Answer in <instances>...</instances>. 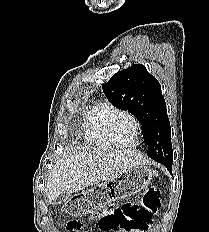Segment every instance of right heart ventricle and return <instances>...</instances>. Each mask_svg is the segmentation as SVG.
<instances>
[{
    "mask_svg": "<svg viewBox=\"0 0 209 232\" xmlns=\"http://www.w3.org/2000/svg\"><path fill=\"white\" fill-rule=\"evenodd\" d=\"M120 110L110 102L102 100L92 107L85 121V137L94 147L110 149L115 147L108 136V124L110 119ZM136 146L135 139L130 144Z\"/></svg>",
    "mask_w": 209,
    "mask_h": 232,
    "instance_id": "e07e8e85",
    "label": "right heart ventricle"
}]
</instances>
